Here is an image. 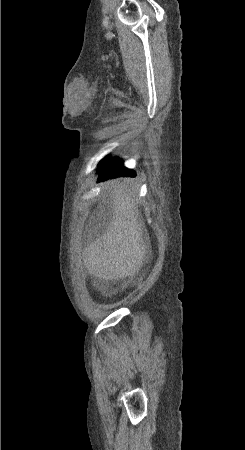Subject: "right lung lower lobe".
Here are the masks:
<instances>
[{
    "label": "right lung lower lobe",
    "instance_id": "1",
    "mask_svg": "<svg viewBox=\"0 0 245 450\" xmlns=\"http://www.w3.org/2000/svg\"><path fill=\"white\" fill-rule=\"evenodd\" d=\"M100 172L98 182L101 180H106L108 178H113L117 176H134L135 173L123 166V162L119 158H105L97 170Z\"/></svg>",
    "mask_w": 245,
    "mask_h": 450
}]
</instances>
